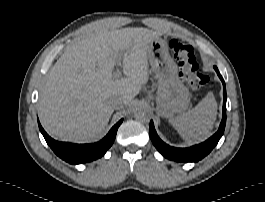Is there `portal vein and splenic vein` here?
<instances>
[{"mask_svg":"<svg viewBox=\"0 0 265 202\" xmlns=\"http://www.w3.org/2000/svg\"><path fill=\"white\" fill-rule=\"evenodd\" d=\"M116 63H117L119 68L116 70V72L113 73V76L114 77H120L121 76V70H120V67H121V56L120 55L117 56Z\"/></svg>","mask_w":265,"mask_h":202,"instance_id":"portal-vein-and-splenic-vein-1","label":"portal vein and splenic vein"}]
</instances>
